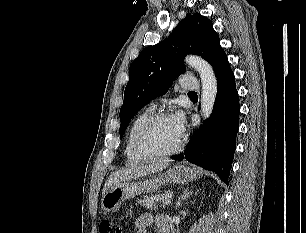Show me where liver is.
Listing matches in <instances>:
<instances>
[{
	"label": "liver",
	"instance_id": "liver-1",
	"mask_svg": "<svg viewBox=\"0 0 306 233\" xmlns=\"http://www.w3.org/2000/svg\"><path fill=\"white\" fill-rule=\"evenodd\" d=\"M169 160H160L149 165L133 166L113 172L107 179L102 195L116 183L121 181L136 179L148 174L157 173L164 170L169 165Z\"/></svg>",
	"mask_w": 306,
	"mask_h": 233
}]
</instances>
